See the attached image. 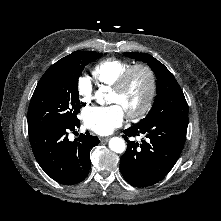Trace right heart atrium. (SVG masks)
<instances>
[{
	"label": "right heart atrium",
	"instance_id": "1",
	"mask_svg": "<svg viewBox=\"0 0 221 221\" xmlns=\"http://www.w3.org/2000/svg\"><path fill=\"white\" fill-rule=\"evenodd\" d=\"M77 92L82 103L88 104L93 98V84L87 76L79 77L77 81Z\"/></svg>",
	"mask_w": 221,
	"mask_h": 221
}]
</instances>
